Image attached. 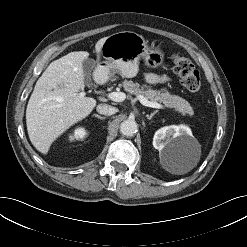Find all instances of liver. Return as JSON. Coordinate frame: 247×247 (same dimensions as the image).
Segmentation results:
<instances>
[{
    "instance_id": "1",
    "label": "liver",
    "mask_w": 247,
    "mask_h": 247,
    "mask_svg": "<svg viewBox=\"0 0 247 247\" xmlns=\"http://www.w3.org/2000/svg\"><path fill=\"white\" fill-rule=\"evenodd\" d=\"M106 38L95 44L97 62ZM88 56L87 51L68 53L51 62L35 84L27 104L26 125L32 145L42 154L96 106L94 98L79 95L85 87L83 62Z\"/></svg>"
}]
</instances>
